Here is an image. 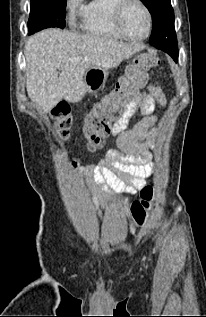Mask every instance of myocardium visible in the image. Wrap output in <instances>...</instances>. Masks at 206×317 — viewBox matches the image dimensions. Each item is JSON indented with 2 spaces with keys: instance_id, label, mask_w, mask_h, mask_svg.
Wrapping results in <instances>:
<instances>
[{
  "instance_id": "obj_1",
  "label": "myocardium",
  "mask_w": 206,
  "mask_h": 317,
  "mask_svg": "<svg viewBox=\"0 0 206 317\" xmlns=\"http://www.w3.org/2000/svg\"><path fill=\"white\" fill-rule=\"evenodd\" d=\"M131 3H137L138 5H140L147 17V31L142 37H133L128 35L122 26L123 13L127 6ZM112 22L116 32L121 37L135 42L144 41L145 39H147L151 34L153 25L151 11L142 0H117V2L112 7Z\"/></svg>"
}]
</instances>
